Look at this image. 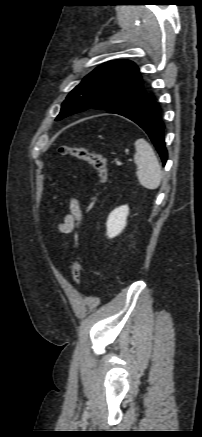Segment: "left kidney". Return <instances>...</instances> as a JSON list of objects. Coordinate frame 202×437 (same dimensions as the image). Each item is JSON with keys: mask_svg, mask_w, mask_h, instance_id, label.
Instances as JSON below:
<instances>
[{"mask_svg": "<svg viewBox=\"0 0 202 437\" xmlns=\"http://www.w3.org/2000/svg\"><path fill=\"white\" fill-rule=\"evenodd\" d=\"M129 207L127 205L115 208L108 216L106 227L107 236L114 238L119 235L126 226Z\"/></svg>", "mask_w": 202, "mask_h": 437, "instance_id": "5707ae66", "label": "left kidney"}]
</instances>
